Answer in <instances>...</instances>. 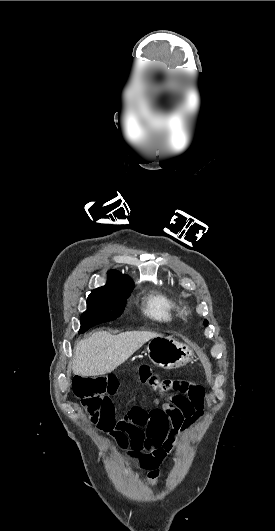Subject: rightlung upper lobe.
Listing matches in <instances>:
<instances>
[{
  "label": "right lung upper lobe",
  "instance_id": "1",
  "mask_svg": "<svg viewBox=\"0 0 275 531\" xmlns=\"http://www.w3.org/2000/svg\"><path fill=\"white\" fill-rule=\"evenodd\" d=\"M132 283V280L125 275H122L121 273L112 270L108 273V282L105 286L109 287H124L129 286Z\"/></svg>",
  "mask_w": 275,
  "mask_h": 531
}]
</instances>
